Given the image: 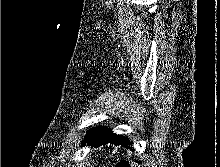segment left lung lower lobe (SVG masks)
<instances>
[{"label":"left lung lower lobe","mask_w":220,"mask_h":167,"mask_svg":"<svg viewBox=\"0 0 220 167\" xmlns=\"http://www.w3.org/2000/svg\"><path fill=\"white\" fill-rule=\"evenodd\" d=\"M86 143L94 147L110 143L132 149V142H130L126 137L113 134L109 129L106 128H95L89 131L86 139H84L83 145Z\"/></svg>","instance_id":"obj_1"}]
</instances>
